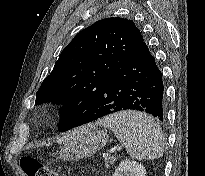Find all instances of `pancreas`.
<instances>
[{
	"label": "pancreas",
	"mask_w": 205,
	"mask_h": 176,
	"mask_svg": "<svg viewBox=\"0 0 205 176\" xmlns=\"http://www.w3.org/2000/svg\"><path fill=\"white\" fill-rule=\"evenodd\" d=\"M115 161H116V157H114V156H107L105 158V162H106L105 166H106V168L107 169L110 168V166L113 165Z\"/></svg>",
	"instance_id": "obj_1"
}]
</instances>
